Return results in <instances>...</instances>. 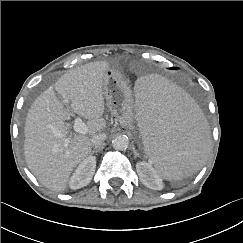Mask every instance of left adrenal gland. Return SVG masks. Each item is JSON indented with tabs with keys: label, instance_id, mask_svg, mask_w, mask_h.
<instances>
[{
	"label": "left adrenal gland",
	"instance_id": "a2214340",
	"mask_svg": "<svg viewBox=\"0 0 243 243\" xmlns=\"http://www.w3.org/2000/svg\"><path fill=\"white\" fill-rule=\"evenodd\" d=\"M133 153H134L135 157H139V154H138L137 150L135 149V147H133Z\"/></svg>",
	"mask_w": 243,
	"mask_h": 243
}]
</instances>
